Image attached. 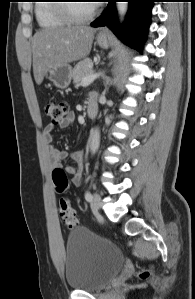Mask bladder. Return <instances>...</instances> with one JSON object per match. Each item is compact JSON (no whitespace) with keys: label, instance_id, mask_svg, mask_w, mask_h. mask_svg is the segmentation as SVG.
Returning <instances> with one entry per match:
<instances>
[{"label":"bladder","instance_id":"obj_1","mask_svg":"<svg viewBox=\"0 0 195 299\" xmlns=\"http://www.w3.org/2000/svg\"><path fill=\"white\" fill-rule=\"evenodd\" d=\"M65 279L70 288L93 292L118 274L123 257L109 240L75 228L65 245Z\"/></svg>","mask_w":195,"mask_h":299}]
</instances>
